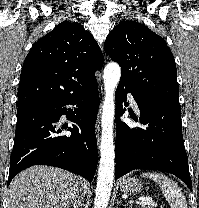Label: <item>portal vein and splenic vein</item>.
Here are the masks:
<instances>
[{
	"label": "portal vein and splenic vein",
	"instance_id": "18ae733b",
	"mask_svg": "<svg viewBox=\"0 0 199 208\" xmlns=\"http://www.w3.org/2000/svg\"><path fill=\"white\" fill-rule=\"evenodd\" d=\"M136 204H141V205L147 204V205H151L153 207L158 206L157 202H155L153 199H150V198H142L141 201L136 202Z\"/></svg>",
	"mask_w": 199,
	"mask_h": 208
}]
</instances>
